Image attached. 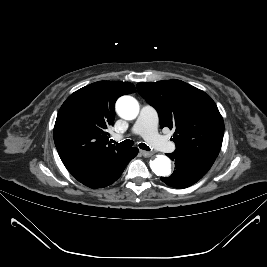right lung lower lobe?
Masks as SVG:
<instances>
[{"label":"right lung lower lobe","mask_w":267,"mask_h":267,"mask_svg":"<svg viewBox=\"0 0 267 267\" xmlns=\"http://www.w3.org/2000/svg\"><path fill=\"white\" fill-rule=\"evenodd\" d=\"M137 153L136 147L127 148L122 153L101 162L95 170L79 182L90 188L109 186L120 177L126 165Z\"/></svg>","instance_id":"1"}]
</instances>
